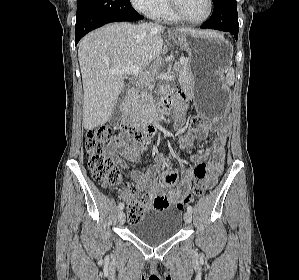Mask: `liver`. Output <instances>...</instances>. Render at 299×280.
Listing matches in <instances>:
<instances>
[{
    "mask_svg": "<svg viewBox=\"0 0 299 280\" xmlns=\"http://www.w3.org/2000/svg\"><path fill=\"white\" fill-rule=\"evenodd\" d=\"M179 33L199 30L177 28ZM164 27L113 23L87 34L79 43L78 59L83 82V126L92 130L111 117L124 87L122 75L109 73L136 65L148 68L163 48Z\"/></svg>",
    "mask_w": 299,
    "mask_h": 280,
    "instance_id": "liver-1",
    "label": "liver"
}]
</instances>
